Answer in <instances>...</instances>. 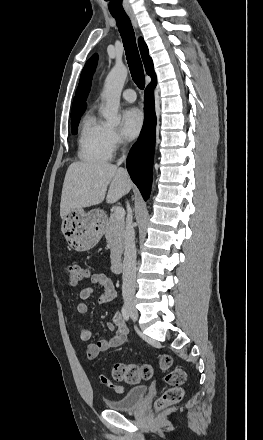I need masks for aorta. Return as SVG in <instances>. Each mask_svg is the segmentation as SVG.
Here are the masks:
<instances>
[{
  "instance_id": "1",
  "label": "aorta",
  "mask_w": 263,
  "mask_h": 440,
  "mask_svg": "<svg viewBox=\"0 0 263 440\" xmlns=\"http://www.w3.org/2000/svg\"><path fill=\"white\" fill-rule=\"evenodd\" d=\"M127 74L128 70L123 64H116L106 77L104 83L101 97L105 101V108L102 111V115L107 123L111 125H116L119 122L118 109Z\"/></svg>"
}]
</instances>
